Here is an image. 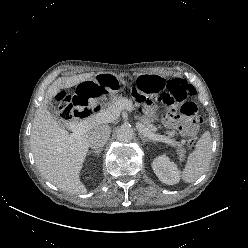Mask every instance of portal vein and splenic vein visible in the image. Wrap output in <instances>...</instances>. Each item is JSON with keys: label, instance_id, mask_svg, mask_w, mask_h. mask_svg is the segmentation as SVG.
Wrapping results in <instances>:
<instances>
[{"label": "portal vein and splenic vein", "instance_id": "obj_1", "mask_svg": "<svg viewBox=\"0 0 248 248\" xmlns=\"http://www.w3.org/2000/svg\"><path fill=\"white\" fill-rule=\"evenodd\" d=\"M123 109H126L128 111H132V106L125 103H115L108 107L106 110L96 114L95 116H92L91 118L85 119L79 123L77 122H69L66 125V128L70 131H72L73 136L82 134L90 127L100 124V123H109L114 121L120 116V113ZM137 128L141 134H143L145 137H148L149 139L156 141V142H165V143H171L170 139L167 138L164 135L155 134L148 128H146L142 123H137Z\"/></svg>", "mask_w": 248, "mask_h": 248}]
</instances>
